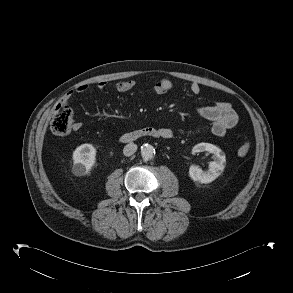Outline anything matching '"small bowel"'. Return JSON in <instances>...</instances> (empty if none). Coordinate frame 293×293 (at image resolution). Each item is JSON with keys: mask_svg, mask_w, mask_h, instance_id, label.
<instances>
[{"mask_svg": "<svg viewBox=\"0 0 293 293\" xmlns=\"http://www.w3.org/2000/svg\"><path fill=\"white\" fill-rule=\"evenodd\" d=\"M135 81L127 80L120 81L116 83L115 89L118 93H126L135 87ZM107 86L106 82H98L96 88L99 90L105 89ZM174 84L169 79H160L155 82L153 86V91L157 95L165 94L166 92L173 89ZM88 90L87 85H80L75 89L69 91L65 94L62 99V103H66L71 100L76 94L84 93ZM190 91L194 95H198L201 92V87L198 83H192L190 85ZM197 112L202 117L211 120V132L215 136H223L225 133L232 129L238 121V116L232 106L227 102H215L211 105H201L197 107ZM81 124L75 122L72 126L74 131H79L81 129ZM164 138H171L173 136V131L169 128H159L158 129Z\"/></svg>", "mask_w": 293, "mask_h": 293, "instance_id": "1", "label": "small bowel"}]
</instances>
